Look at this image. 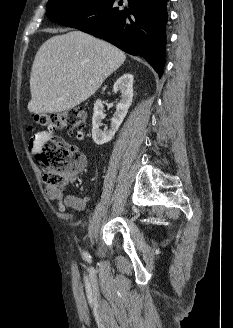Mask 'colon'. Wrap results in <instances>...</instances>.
Wrapping results in <instances>:
<instances>
[{
  "instance_id": "obj_1",
  "label": "colon",
  "mask_w": 233,
  "mask_h": 328,
  "mask_svg": "<svg viewBox=\"0 0 233 328\" xmlns=\"http://www.w3.org/2000/svg\"><path fill=\"white\" fill-rule=\"evenodd\" d=\"M87 116L85 109L72 108L59 113L37 114L34 116V120L51 131L64 129L83 137ZM35 157L37 164L44 171V183L49 187L56 188L61 187L67 179L72 178L83 163V155L80 150L56 136L47 139Z\"/></svg>"
}]
</instances>
